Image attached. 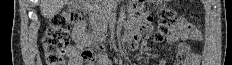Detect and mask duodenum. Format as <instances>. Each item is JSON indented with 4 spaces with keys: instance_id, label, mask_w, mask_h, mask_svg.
<instances>
[{
    "instance_id": "obj_1",
    "label": "duodenum",
    "mask_w": 232,
    "mask_h": 65,
    "mask_svg": "<svg viewBox=\"0 0 232 65\" xmlns=\"http://www.w3.org/2000/svg\"><path fill=\"white\" fill-rule=\"evenodd\" d=\"M77 7H79L80 9L84 10V11H88V4L86 1H78L76 3ZM133 29L134 27L133 26H130L129 29H128V35H132L133 33Z\"/></svg>"
}]
</instances>
